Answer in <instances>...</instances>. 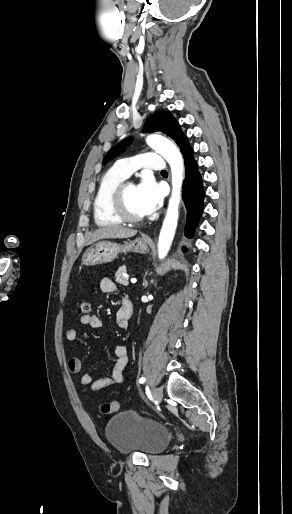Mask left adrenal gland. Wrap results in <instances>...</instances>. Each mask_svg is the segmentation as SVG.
Returning <instances> with one entry per match:
<instances>
[{
	"instance_id": "a2214340",
	"label": "left adrenal gland",
	"mask_w": 292,
	"mask_h": 514,
	"mask_svg": "<svg viewBox=\"0 0 292 514\" xmlns=\"http://www.w3.org/2000/svg\"><path fill=\"white\" fill-rule=\"evenodd\" d=\"M143 286H145V288L148 286V282H146L145 278H143Z\"/></svg>"
}]
</instances>
